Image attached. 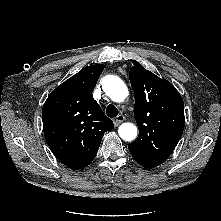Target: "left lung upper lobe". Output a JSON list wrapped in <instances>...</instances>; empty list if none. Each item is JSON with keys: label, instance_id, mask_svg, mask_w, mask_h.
I'll return each mask as SVG.
<instances>
[{"label": "left lung upper lobe", "instance_id": "1", "mask_svg": "<svg viewBox=\"0 0 221 221\" xmlns=\"http://www.w3.org/2000/svg\"><path fill=\"white\" fill-rule=\"evenodd\" d=\"M131 61L129 79L135 95L134 117L139 135L128 144V149L138 164L153 168L169 157L181 138L184 103L167 80Z\"/></svg>", "mask_w": 221, "mask_h": 221}]
</instances>
